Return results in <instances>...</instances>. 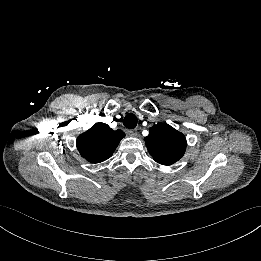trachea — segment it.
<instances>
[{
    "instance_id": "obj_1",
    "label": "trachea",
    "mask_w": 261,
    "mask_h": 261,
    "mask_svg": "<svg viewBox=\"0 0 261 261\" xmlns=\"http://www.w3.org/2000/svg\"><path fill=\"white\" fill-rule=\"evenodd\" d=\"M123 124L128 129H134L137 126V117L133 113H128L123 120Z\"/></svg>"
}]
</instances>
